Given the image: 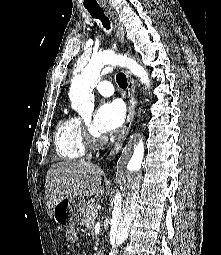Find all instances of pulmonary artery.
Returning <instances> with one entry per match:
<instances>
[{
	"instance_id": "1",
	"label": "pulmonary artery",
	"mask_w": 221,
	"mask_h": 255,
	"mask_svg": "<svg viewBox=\"0 0 221 255\" xmlns=\"http://www.w3.org/2000/svg\"><path fill=\"white\" fill-rule=\"evenodd\" d=\"M96 89L101 95L106 96V97L111 96L114 93V88H113L112 83L107 80L100 81L96 85Z\"/></svg>"
}]
</instances>
